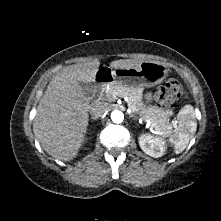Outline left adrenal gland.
<instances>
[{
	"mask_svg": "<svg viewBox=\"0 0 221 221\" xmlns=\"http://www.w3.org/2000/svg\"><path fill=\"white\" fill-rule=\"evenodd\" d=\"M129 115H130V117H133L134 120H137L136 116H134L133 114H129Z\"/></svg>",
	"mask_w": 221,
	"mask_h": 221,
	"instance_id": "left-adrenal-gland-1",
	"label": "left adrenal gland"
}]
</instances>
